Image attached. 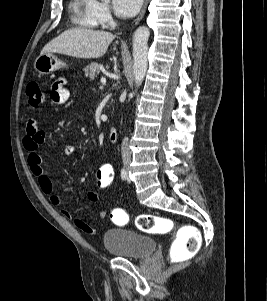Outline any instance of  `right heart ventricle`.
Instances as JSON below:
<instances>
[{"label": "right heart ventricle", "mask_w": 267, "mask_h": 301, "mask_svg": "<svg viewBox=\"0 0 267 301\" xmlns=\"http://www.w3.org/2000/svg\"><path fill=\"white\" fill-rule=\"evenodd\" d=\"M93 0H72L70 10L74 24L83 28H95L98 23L92 15Z\"/></svg>", "instance_id": "e07e8e85"}]
</instances>
